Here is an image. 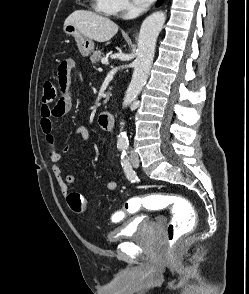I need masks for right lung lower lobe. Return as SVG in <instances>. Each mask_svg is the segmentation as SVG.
I'll return each mask as SVG.
<instances>
[{
	"label": "right lung lower lobe",
	"mask_w": 249,
	"mask_h": 294,
	"mask_svg": "<svg viewBox=\"0 0 249 294\" xmlns=\"http://www.w3.org/2000/svg\"><path fill=\"white\" fill-rule=\"evenodd\" d=\"M163 0H158L157 6L161 5Z\"/></svg>",
	"instance_id": "1"
}]
</instances>
